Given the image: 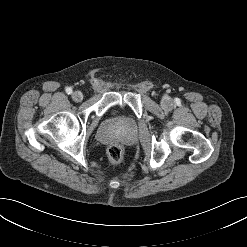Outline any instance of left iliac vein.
<instances>
[{
    "label": "left iliac vein",
    "instance_id": "obj_1",
    "mask_svg": "<svg viewBox=\"0 0 247 247\" xmlns=\"http://www.w3.org/2000/svg\"><path fill=\"white\" fill-rule=\"evenodd\" d=\"M161 106L163 109L170 110L173 108V101L170 99H163L161 102Z\"/></svg>",
    "mask_w": 247,
    "mask_h": 247
}]
</instances>
